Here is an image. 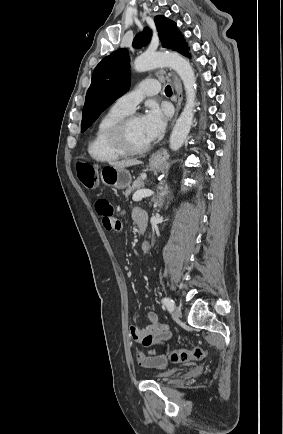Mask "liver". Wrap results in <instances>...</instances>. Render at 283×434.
Wrapping results in <instances>:
<instances>
[{
	"instance_id": "1",
	"label": "liver",
	"mask_w": 283,
	"mask_h": 434,
	"mask_svg": "<svg viewBox=\"0 0 283 434\" xmlns=\"http://www.w3.org/2000/svg\"><path fill=\"white\" fill-rule=\"evenodd\" d=\"M141 162L137 159H129V160H123V161H114L110 162L109 164L116 168H125V167H131L134 165H139Z\"/></svg>"
}]
</instances>
